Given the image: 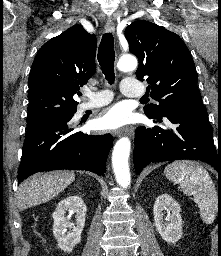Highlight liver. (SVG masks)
<instances>
[{
    "instance_id": "6515ba94",
    "label": "liver",
    "mask_w": 221,
    "mask_h": 256,
    "mask_svg": "<svg viewBox=\"0 0 221 256\" xmlns=\"http://www.w3.org/2000/svg\"><path fill=\"white\" fill-rule=\"evenodd\" d=\"M74 180L75 173L66 170L33 175L18 188V209L24 210L51 200Z\"/></svg>"
}]
</instances>
